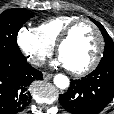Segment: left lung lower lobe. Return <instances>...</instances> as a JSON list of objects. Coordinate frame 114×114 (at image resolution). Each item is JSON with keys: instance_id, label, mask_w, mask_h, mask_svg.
<instances>
[{"instance_id": "obj_1", "label": "left lung lower lobe", "mask_w": 114, "mask_h": 114, "mask_svg": "<svg viewBox=\"0 0 114 114\" xmlns=\"http://www.w3.org/2000/svg\"><path fill=\"white\" fill-rule=\"evenodd\" d=\"M114 96V63L98 65L81 80H71L59 95L61 105L72 114H98Z\"/></svg>"}]
</instances>
